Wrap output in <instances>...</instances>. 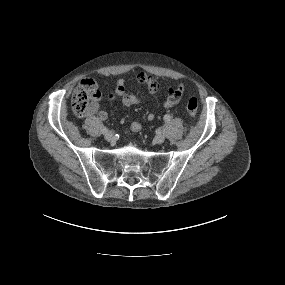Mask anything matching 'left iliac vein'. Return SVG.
Wrapping results in <instances>:
<instances>
[{
    "label": "left iliac vein",
    "mask_w": 285,
    "mask_h": 285,
    "mask_svg": "<svg viewBox=\"0 0 285 285\" xmlns=\"http://www.w3.org/2000/svg\"><path fill=\"white\" fill-rule=\"evenodd\" d=\"M155 143L162 144L165 141V137L162 134L155 136L154 138Z\"/></svg>",
    "instance_id": "1"
}]
</instances>
